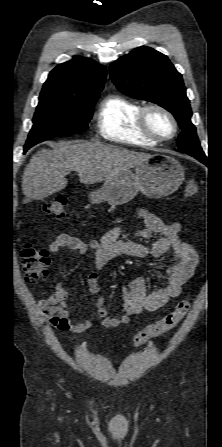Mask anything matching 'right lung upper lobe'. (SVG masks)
<instances>
[{
  "label": "right lung upper lobe",
  "instance_id": "1",
  "mask_svg": "<svg viewBox=\"0 0 222 447\" xmlns=\"http://www.w3.org/2000/svg\"><path fill=\"white\" fill-rule=\"evenodd\" d=\"M105 78L106 68L103 65L92 59L75 56L49 73L42 90L61 91L75 96L99 94Z\"/></svg>",
  "mask_w": 222,
  "mask_h": 447
}]
</instances>
